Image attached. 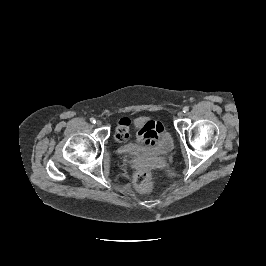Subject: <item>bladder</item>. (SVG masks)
<instances>
[{"label": "bladder", "mask_w": 266, "mask_h": 266, "mask_svg": "<svg viewBox=\"0 0 266 266\" xmlns=\"http://www.w3.org/2000/svg\"><path fill=\"white\" fill-rule=\"evenodd\" d=\"M139 120L137 123H141ZM174 146L173 138L169 132H164L159 136L158 141L150 146H142L136 143H129L125 145L124 152L129 156H142L147 153H155L164 155L169 153Z\"/></svg>", "instance_id": "obj_1"}]
</instances>
